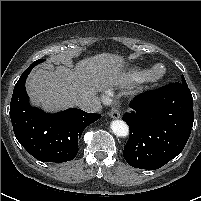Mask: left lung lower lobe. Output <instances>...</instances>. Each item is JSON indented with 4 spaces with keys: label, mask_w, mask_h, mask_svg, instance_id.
<instances>
[{
    "label": "left lung lower lobe",
    "mask_w": 201,
    "mask_h": 201,
    "mask_svg": "<svg viewBox=\"0 0 201 201\" xmlns=\"http://www.w3.org/2000/svg\"><path fill=\"white\" fill-rule=\"evenodd\" d=\"M123 120L130 129L124 158L135 168L155 170L179 155L189 139L193 98L187 83L175 82L142 94Z\"/></svg>",
    "instance_id": "obj_1"
}]
</instances>
